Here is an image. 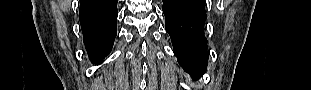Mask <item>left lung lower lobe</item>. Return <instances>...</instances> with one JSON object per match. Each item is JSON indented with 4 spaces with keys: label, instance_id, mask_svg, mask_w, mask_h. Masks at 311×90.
I'll return each instance as SVG.
<instances>
[{
    "label": "left lung lower lobe",
    "instance_id": "left-lung-lower-lobe-1",
    "mask_svg": "<svg viewBox=\"0 0 311 90\" xmlns=\"http://www.w3.org/2000/svg\"><path fill=\"white\" fill-rule=\"evenodd\" d=\"M165 28L182 68L197 78L206 71L205 0H163Z\"/></svg>",
    "mask_w": 311,
    "mask_h": 90
}]
</instances>
